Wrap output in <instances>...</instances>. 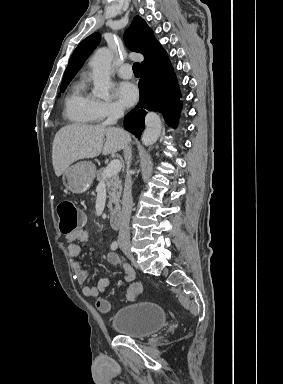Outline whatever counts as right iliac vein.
<instances>
[{
    "label": "right iliac vein",
    "instance_id": "1",
    "mask_svg": "<svg viewBox=\"0 0 283 384\" xmlns=\"http://www.w3.org/2000/svg\"><path fill=\"white\" fill-rule=\"evenodd\" d=\"M123 251L133 262H135V258H134L133 254L131 253L129 248L124 247Z\"/></svg>",
    "mask_w": 283,
    "mask_h": 384
}]
</instances>
